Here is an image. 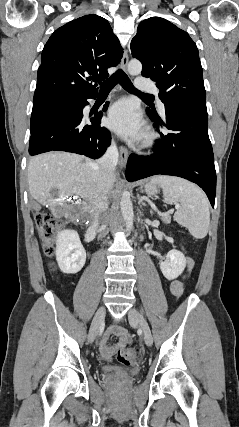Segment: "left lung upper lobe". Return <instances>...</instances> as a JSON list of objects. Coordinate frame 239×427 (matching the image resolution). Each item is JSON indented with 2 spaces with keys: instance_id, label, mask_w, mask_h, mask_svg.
Masks as SVG:
<instances>
[{
  "instance_id": "5c2ea615",
  "label": "left lung upper lobe",
  "mask_w": 239,
  "mask_h": 427,
  "mask_svg": "<svg viewBox=\"0 0 239 427\" xmlns=\"http://www.w3.org/2000/svg\"><path fill=\"white\" fill-rule=\"evenodd\" d=\"M142 76L156 81L163 103L207 112L202 66L196 44L171 22L151 17L140 23L131 41Z\"/></svg>"
}]
</instances>
